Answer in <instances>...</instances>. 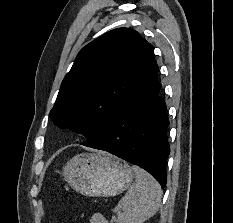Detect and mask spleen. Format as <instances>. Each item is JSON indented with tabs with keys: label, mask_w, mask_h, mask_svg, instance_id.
<instances>
[{
	"label": "spleen",
	"mask_w": 233,
	"mask_h": 223,
	"mask_svg": "<svg viewBox=\"0 0 233 223\" xmlns=\"http://www.w3.org/2000/svg\"><path fill=\"white\" fill-rule=\"evenodd\" d=\"M133 169L135 183H132L114 209L118 213V223H143L159 209L162 197L160 183L144 169L140 167ZM91 223H108V221L102 213H94Z\"/></svg>",
	"instance_id": "spleen-1"
}]
</instances>
